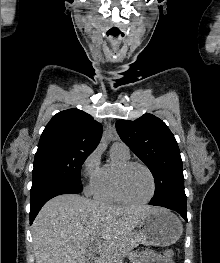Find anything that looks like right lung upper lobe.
<instances>
[{"instance_id": "1", "label": "right lung upper lobe", "mask_w": 220, "mask_h": 263, "mask_svg": "<svg viewBox=\"0 0 220 263\" xmlns=\"http://www.w3.org/2000/svg\"><path fill=\"white\" fill-rule=\"evenodd\" d=\"M102 125L79 109H68L53 116L45 127L37 152L48 149H75L94 151L101 135Z\"/></svg>"}]
</instances>
